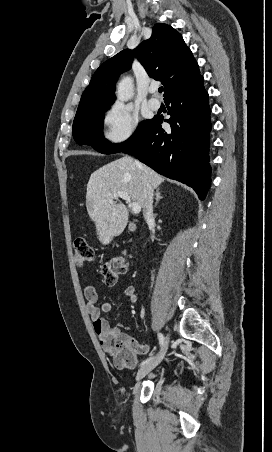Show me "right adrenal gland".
Returning <instances> with one entry per match:
<instances>
[{
	"mask_svg": "<svg viewBox=\"0 0 272 452\" xmlns=\"http://www.w3.org/2000/svg\"><path fill=\"white\" fill-rule=\"evenodd\" d=\"M155 195H156V202H155L154 206L156 207L158 205V202L163 198V196L160 193V189L156 190Z\"/></svg>",
	"mask_w": 272,
	"mask_h": 452,
	"instance_id": "obj_1",
	"label": "right adrenal gland"
}]
</instances>
